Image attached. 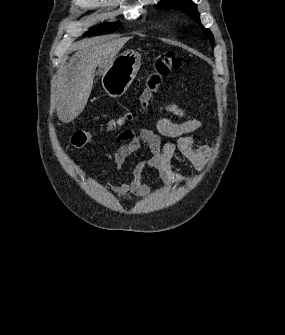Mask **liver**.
<instances>
[{
  "label": "liver",
  "mask_w": 285,
  "mask_h": 335,
  "mask_svg": "<svg viewBox=\"0 0 285 335\" xmlns=\"http://www.w3.org/2000/svg\"><path fill=\"white\" fill-rule=\"evenodd\" d=\"M130 38L117 40H83L73 44L67 72L58 86L57 116L61 122H72L83 112L92 92L96 68L107 70L122 46Z\"/></svg>",
  "instance_id": "1"
}]
</instances>
